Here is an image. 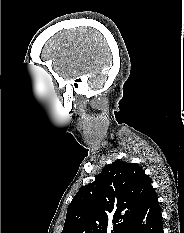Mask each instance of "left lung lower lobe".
<instances>
[{
  "instance_id": "1",
  "label": "left lung lower lobe",
  "mask_w": 184,
  "mask_h": 233,
  "mask_svg": "<svg viewBox=\"0 0 184 233\" xmlns=\"http://www.w3.org/2000/svg\"><path fill=\"white\" fill-rule=\"evenodd\" d=\"M127 233H163L162 213L154 190L148 195Z\"/></svg>"
}]
</instances>
